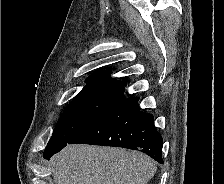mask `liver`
Listing matches in <instances>:
<instances>
[{
  "instance_id": "6515ba94",
  "label": "liver",
  "mask_w": 224,
  "mask_h": 184,
  "mask_svg": "<svg viewBox=\"0 0 224 184\" xmlns=\"http://www.w3.org/2000/svg\"><path fill=\"white\" fill-rule=\"evenodd\" d=\"M55 184H147L156 163L137 151L67 145L52 159Z\"/></svg>"
}]
</instances>
